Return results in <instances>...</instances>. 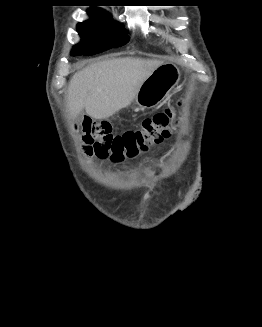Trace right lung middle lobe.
Instances as JSON below:
<instances>
[{"label":"right lung middle lobe","mask_w":262,"mask_h":327,"mask_svg":"<svg viewBox=\"0 0 262 327\" xmlns=\"http://www.w3.org/2000/svg\"><path fill=\"white\" fill-rule=\"evenodd\" d=\"M90 20L77 25L81 43L71 52L76 55H93L126 44L129 37L121 25L113 22L103 11H89Z\"/></svg>","instance_id":"right-lung-middle-lobe-1"}]
</instances>
